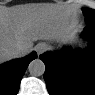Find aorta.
Wrapping results in <instances>:
<instances>
[{
    "instance_id": "obj_1",
    "label": "aorta",
    "mask_w": 95,
    "mask_h": 95,
    "mask_svg": "<svg viewBox=\"0 0 95 95\" xmlns=\"http://www.w3.org/2000/svg\"><path fill=\"white\" fill-rule=\"evenodd\" d=\"M29 73L33 76H41L45 72V64L41 59H35L28 66Z\"/></svg>"
}]
</instances>
